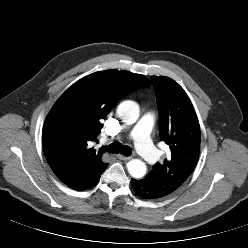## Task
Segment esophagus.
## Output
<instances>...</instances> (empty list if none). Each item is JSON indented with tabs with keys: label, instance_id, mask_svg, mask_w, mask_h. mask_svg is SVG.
Instances as JSON below:
<instances>
[{
	"label": "esophagus",
	"instance_id": "obj_1",
	"mask_svg": "<svg viewBox=\"0 0 248 248\" xmlns=\"http://www.w3.org/2000/svg\"><path fill=\"white\" fill-rule=\"evenodd\" d=\"M117 158L120 159V160H123V161H128V160L131 159V157H127V156H124L122 154H118Z\"/></svg>",
	"mask_w": 248,
	"mask_h": 248
}]
</instances>
